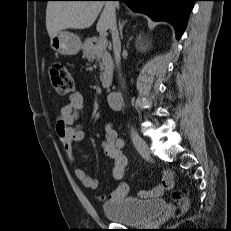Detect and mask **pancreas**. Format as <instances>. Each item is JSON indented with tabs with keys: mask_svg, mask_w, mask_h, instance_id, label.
Listing matches in <instances>:
<instances>
[{
	"mask_svg": "<svg viewBox=\"0 0 231 231\" xmlns=\"http://www.w3.org/2000/svg\"><path fill=\"white\" fill-rule=\"evenodd\" d=\"M95 39L87 38L82 45L84 57L88 61L96 60L99 62L101 75L100 80L104 88H109L113 77V61L111 55L105 48H99Z\"/></svg>",
	"mask_w": 231,
	"mask_h": 231,
	"instance_id": "obj_1",
	"label": "pancreas"
}]
</instances>
